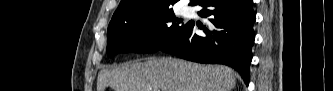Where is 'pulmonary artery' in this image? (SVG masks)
Segmentation results:
<instances>
[{"instance_id":"1","label":"pulmonary artery","mask_w":333,"mask_h":91,"mask_svg":"<svg viewBox=\"0 0 333 91\" xmlns=\"http://www.w3.org/2000/svg\"><path fill=\"white\" fill-rule=\"evenodd\" d=\"M182 12H183V13H187L188 10H187L186 8H182Z\"/></svg>"}]
</instances>
